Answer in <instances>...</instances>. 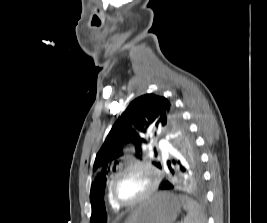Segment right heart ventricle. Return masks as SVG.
Masks as SVG:
<instances>
[{
    "label": "right heart ventricle",
    "mask_w": 267,
    "mask_h": 223,
    "mask_svg": "<svg viewBox=\"0 0 267 223\" xmlns=\"http://www.w3.org/2000/svg\"><path fill=\"white\" fill-rule=\"evenodd\" d=\"M108 202H109V204H110V206L114 209V210H117L118 209V206H116L115 204H114V202L112 201V199H111V197H110V195H109V192H108Z\"/></svg>",
    "instance_id": "obj_1"
}]
</instances>
